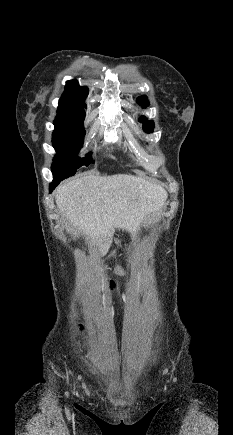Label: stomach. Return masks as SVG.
Returning <instances> with one entry per match:
<instances>
[{"instance_id": "stomach-1", "label": "stomach", "mask_w": 233, "mask_h": 435, "mask_svg": "<svg viewBox=\"0 0 233 435\" xmlns=\"http://www.w3.org/2000/svg\"><path fill=\"white\" fill-rule=\"evenodd\" d=\"M114 272L119 276H124L126 274L125 270L120 265L115 267Z\"/></svg>"}]
</instances>
